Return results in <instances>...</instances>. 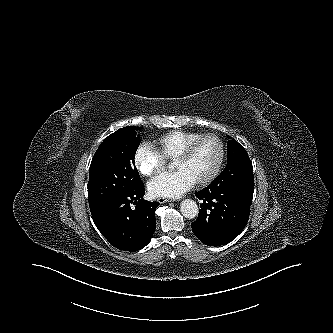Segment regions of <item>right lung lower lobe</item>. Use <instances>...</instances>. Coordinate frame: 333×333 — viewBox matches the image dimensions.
<instances>
[{"label":"right lung lower lobe","instance_id":"right-lung-lower-lobe-1","mask_svg":"<svg viewBox=\"0 0 333 333\" xmlns=\"http://www.w3.org/2000/svg\"><path fill=\"white\" fill-rule=\"evenodd\" d=\"M144 192L142 183L130 192L90 205L97 229L112 246L135 252L149 243L156 228L154 211L159 203L144 201Z\"/></svg>","mask_w":333,"mask_h":333}]
</instances>
